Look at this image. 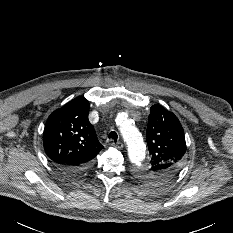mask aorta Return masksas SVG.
I'll return each instance as SVG.
<instances>
[{
	"label": "aorta",
	"mask_w": 233,
	"mask_h": 233,
	"mask_svg": "<svg viewBox=\"0 0 233 233\" xmlns=\"http://www.w3.org/2000/svg\"><path fill=\"white\" fill-rule=\"evenodd\" d=\"M116 123L120 126L121 134L128 146V156L135 165H140L145 158V144L138 131L125 114H119Z\"/></svg>",
	"instance_id": "1"
}]
</instances>
